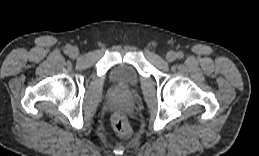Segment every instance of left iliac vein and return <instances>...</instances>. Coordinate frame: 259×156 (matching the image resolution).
I'll use <instances>...</instances> for the list:
<instances>
[{
    "label": "left iliac vein",
    "instance_id": "4c4485c4",
    "mask_svg": "<svg viewBox=\"0 0 259 156\" xmlns=\"http://www.w3.org/2000/svg\"><path fill=\"white\" fill-rule=\"evenodd\" d=\"M176 58H177V55H176V53L173 52V51H169V52L166 54V59H167V61H169V62H173L174 60H176Z\"/></svg>",
    "mask_w": 259,
    "mask_h": 156
}]
</instances>
